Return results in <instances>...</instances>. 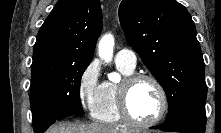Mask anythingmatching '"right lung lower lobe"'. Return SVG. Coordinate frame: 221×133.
<instances>
[{
    "mask_svg": "<svg viewBox=\"0 0 221 133\" xmlns=\"http://www.w3.org/2000/svg\"><path fill=\"white\" fill-rule=\"evenodd\" d=\"M74 114H70L64 118L70 117ZM62 118V119H64ZM57 120H60L59 118L56 117H47V116H42L37 120L32 121L33 124V129L35 133H44L45 130L52 125L54 122Z\"/></svg>",
    "mask_w": 221,
    "mask_h": 133,
    "instance_id": "1",
    "label": "right lung lower lobe"
}]
</instances>
